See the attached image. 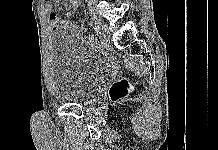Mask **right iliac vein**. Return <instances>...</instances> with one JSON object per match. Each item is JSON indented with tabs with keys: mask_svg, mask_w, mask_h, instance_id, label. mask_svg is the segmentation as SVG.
<instances>
[{
	"mask_svg": "<svg viewBox=\"0 0 218 150\" xmlns=\"http://www.w3.org/2000/svg\"><path fill=\"white\" fill-rule=\"evenodd\" d=\"M92 20L94 22L95 28L97 29V31L100 32V36L106 38L108 36V31L105 23L101 19H98L95 16L92 17Z\"/></svg>",
	"mask_w": 218,
	"mask_h": 150,
	"instance_id": "right-iliac-vein-1",
	"label": "right iliac vein"
}]
</instances>
